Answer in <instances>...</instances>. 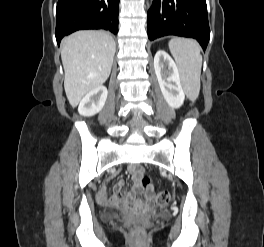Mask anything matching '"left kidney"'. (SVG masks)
Returning <instances> with one entry per match:
<instances>
[{
  "label": "left kidney",
  "mask_w": 264,
  "mask_h": 247,
  "mask_svg": "<svg viewBox=\"0 0 264 247\" xmlns=\"http://www.w3.org/2000/svg\"><path fill=\"white\" fill-rule=\"evenodd\" d=\"M154 69L162 95L168 105L179 108L185 100L178 68L173 59L163 50L156 52Z\"/></svg>",
  "instance_id": "obj_1"
}]
</instances>
